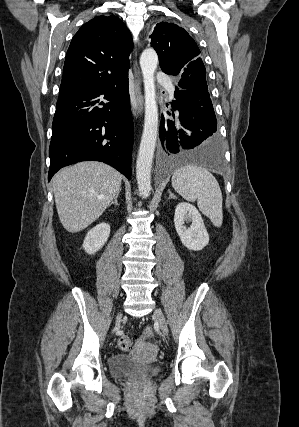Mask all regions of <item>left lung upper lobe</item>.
Listing matches in <instances>:
<instances>
[{
	"mask_svg": "<svg viewBox=\"0 0 299 427\" xmlns=\"http://www.w3.org/2000/svg\"><path fill=\"white\" fill-rule=\"evenodd\" d=\"M150 37L161 69L181 78L180 88L200 93L211 101L205 66L194 39L183 28L167 22L157 24Z\"/></svg>",
	"mask_w": 299,
	"mask_h": 427,
	"instance_id": "1",
	"label": "left lung upper lobe"
}]
</instances>
